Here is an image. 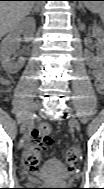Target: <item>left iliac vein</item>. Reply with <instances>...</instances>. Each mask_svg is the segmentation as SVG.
Returning a JSON list of instances; mask_svg holds the SVG:
<instances>
[{
	"mask_svg": "<svg viewBox=\"0 0 104 189\" xmlns=\"http://www.w3.org/2000/svg\"><path fill=\"white\" fill-rule=\"evenodd\" d=\"M71 123H72V125H73L77 130H79L80 124H79L78 120L74 118V116H72V118H71Z\"/></svg>",
	"mask_w": 104,
	"mask_h": 189,
	"instance_id": "left-iliac-vein-1",
	"label": "left iliac vein"
}]
</instances>
